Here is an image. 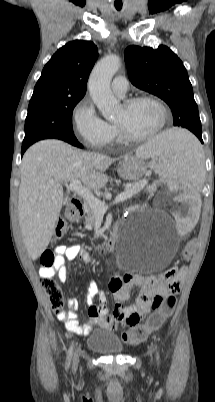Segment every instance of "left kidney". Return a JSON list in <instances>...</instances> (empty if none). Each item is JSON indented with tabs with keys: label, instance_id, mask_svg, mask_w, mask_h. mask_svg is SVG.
<instances>
[{
	"label": "left kidney",
	"instance_id": "1",
	"mask_svg": "<svg viewBox=\"0 0 215 402\" xmlns=\"http://www.w3.org/2000/svg\"><path fill=\"white\" fill-rule=\"evenodd\" d=\"M178 179L164 178L162 184H152L149 187L150 192L160 193L162 200H173V211L180 216L178 237L181 240L186 239V232H195V222L200 221L199 209L200 200L197 199V192L193 191L191 184H179ZM184 183V182H183Z\"/></svg>",
	"mask_w": 215,
	"mask_h": 402
}]
</instances>
